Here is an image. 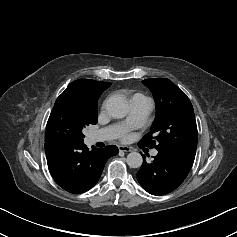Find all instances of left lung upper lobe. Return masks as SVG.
Here are the masks:
<instances>
[{
    "label": "left lung upper lobe",
    "mask_w": 237,
    "mask_h": 237,
    "mask_svg": "<svg viewBox=\"0 0 237 237\" xmlns=\"http://www.w3.org/2000/svg\"><path fill=\"white\" fill-rule=\"evenodd\" d=\"M142 82L152 92L157 112L151 131L139 144L156 148L158 152L195 157L198 133L189 98L169 79Z\"/></svg>",
    "instance_id": "obj_1"
}]
</instances>
